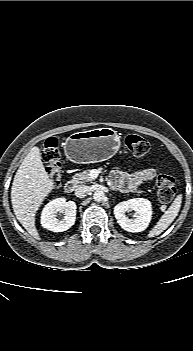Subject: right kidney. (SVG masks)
<instances>
[{"label": "right kidney", "instance_id": "obj_1", "mask_svg": "<svg viewBox=\"0 0 193 351\" xmlns=\"http://www.w3.org/2000/svg\"><path fill=\"white\" fill-rule=\"evenodd\" d=\"M76 203L66 201L65 198H57L50 201L42 210L41 224L44 228L53 232H63L74 225L76 220ZM57 213H63V219H57Z\"/></svg>", "mask_w": 193, "mask_h": 351}]
</instances>
